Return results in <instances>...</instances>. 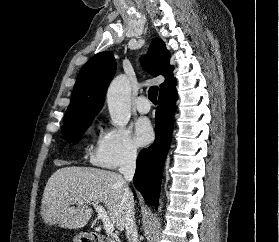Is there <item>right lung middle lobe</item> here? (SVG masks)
<instances>
[{"label": "right lung middle lobe", "mask_w": 279, "mask_h": 242, "mask_svg": "<svg viewBox=\"0 0 279 242\" xmlns=\"http://www.w3.org/2000/svg\"><path fill=\"white\" fill-rule=\"evenodd\" d=\"M93 120V117L87 118L86 120L76 123L62 126V134L65 135L67 141L76 143L80 136L86 131Z\"/></svg>", "instance_id": "1"}]
</instances>
